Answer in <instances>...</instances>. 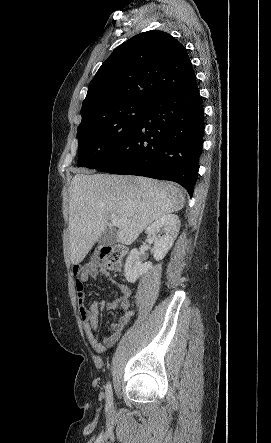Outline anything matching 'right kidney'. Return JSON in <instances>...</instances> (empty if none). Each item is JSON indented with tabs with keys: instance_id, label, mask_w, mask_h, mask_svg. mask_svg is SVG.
Returning a JSON list of instances; mask_svg holds the SVG:
<instances>
[{
	"instance_id": "obj_1",
	"label": "right kidney",
	"mask_w": 271,
	"mask_h": 443,
	"mask_svg": "<svg viewBox=\"0 0 271 443\" xmlns=\"http://www.w3.org/2000/svg\"><path fill=\"white\" fill-rule=\"evenodd\" d=\"M181 222L178 216L168 212L164 214L158 220L151 223L146 229V233L151 235L154 245L151 249L155 259H163L164 255L168 253L170 247H172L180 229ZM142 251H138L137 247L131 249L126 263L124 265V275L127 281L134 283L139 275L148 271L152 267V263H142L141 255Z\"/></svg>"
}]
</instances>
